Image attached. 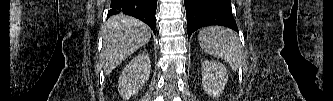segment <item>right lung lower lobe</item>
Masks as SVG:
<instances>
[{"mask_svg": "<svg viewBox=\"0 0 333 101\" xmlns=\"http://www.w3.org/2000/svg\"><path fill=\"white\" fill-rule=\"evenodd\" d=\"M157 0H111L108 16L126 14L145 22L155 33Z\"/></svg>", "mask_w": 333, "mask_h": 101, "instance_id": "obj_1", "label": "right lung lower lobe"}]
</instances>
